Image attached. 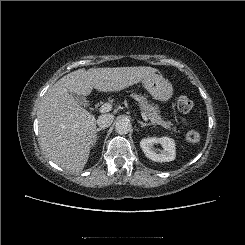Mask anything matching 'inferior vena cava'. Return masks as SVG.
<instances>
[{"mask_svg":"<svg viewBox=\"0 0 245 245\" xmlns=\"http://www.w3.org/2000/svg\"><path fill=\"white\" fill-rule=\"evenodd\" d=\"M114 120V115L112 114H102L97 119V124L101 128L109 127Z\"/></svg>","mask_w":245,"mask_h":245,"instance_id":"602c4592","label":"inferior vena cava"}]
</instances>
